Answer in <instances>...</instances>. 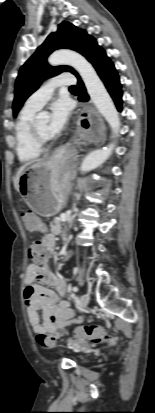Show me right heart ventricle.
Instances as JSON below:
<instances>
[{"label":"right heart ventricle","instance_id":"obj_1","mask_svg":"<svg viewBox=\"0 0 155 413\" xmlns=\"http://www.w3.org/2000/svg\"><path fill=\"white\" fill-rule=\"evenodd\" d=\"M37 110L24 107L17 119L15 126V150L18 159L28 163L39 158L42 148L38 147L32 140L30 127Z\"/></svg>","mask_w":155,"mask_h":413}]
</instances>
